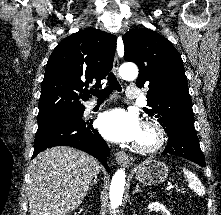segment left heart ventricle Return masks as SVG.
<instances>
[{
	"mask_svg": "<svg viewBox=\"0 0 221 215\" xmlns=\"http://www.w3.org/2000/svg\"><path fill=\"white\" fill-rule=\"evenodd\" d=\"M151 140H152V135L147 131L141 130V134L137 141L147 143L150 142Z\"/></svg>",
	"mask_w": 221,
	"mask_h": 215,
	"instance_id": "1",
	"label": "left heart ventricle"
}]
</instances>
